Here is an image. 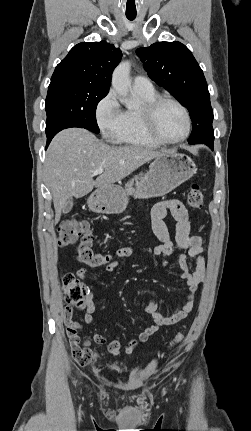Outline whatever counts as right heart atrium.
<instances>
[{
  "label": "right heart atrium",
  "instance_id": "1",
  "mask_svg": "<svg viewBox=\"0 0 251 431\" xmlns=\"http://www.w3.org/2000/svg\"><path fill=\"white\" fill-rule=\"evenodd\" d=\"M95 120L104 137L115 139L120 132L124 111L113 90L108 91L96 104Z\"/></svg>",
  "mask_w": 251,
  "mask_h": 431
}]
</instances>
